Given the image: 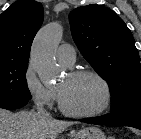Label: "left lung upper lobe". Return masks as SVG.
Returning <instances> with one entry per match:
<instances>
[{
  "instance_id": "obj_1",
  "label": "left lung upper lobe",
  "mask_w": 141,
  "mask_h": 139,
  "mask_svg": "<svg viewBox=\"0 0 141 139\" xmlns=\"http://www.w3.org/2000/svg\"><path fill=\"white\" fill-rule=\"evenodd\" d=\"M69 18L74 42L109 85L111 112L141 103L140 57L124 21L97 4L78 7Z\"/></svg>"
}]
</instances>
